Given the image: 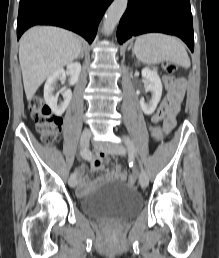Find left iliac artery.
Listing matches in <instances>:
<instances>
[{
    "label": "left iliac artery",
    "instance_id": "obj_1",
    "mask_svg": "<svg viewBox=\"0 0 219 258\" xmlns=\"http://www.w3.org/2000/svg\"><path fill=\"white\" fill-rule=\"evenodd\" d=\"M125 143H126L129 153L137 155V151H136V148H135L133 142L130 139H127L125 141Z\"/></svg>",
    "mask_w": 219,
    "mask_h": 258
}]
</instances>
